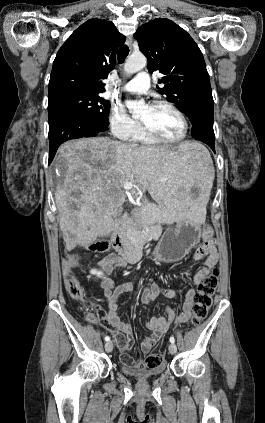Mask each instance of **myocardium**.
Instances as JSON below:
<instances>
[{
  "instance_id": "1",
  "label": "myocardium",
  "mask_w": 265,
  "mask_h": 423,
  "mask_svg": "<svg viewBox=\"0 0 265 423\" xmlns=\"http://www.w3.org/2000/svg\"><path fill=\"white\" fill-rule=\"evenodd\" d=\"M149 107L152 108V109L166 107V108L171 109L173 112H175L180 117V119L182 120L183 133L178 138L169 139V138L161 136L160 134H158L157 132L152 130L148 125H146L145 123L140 121L141 129H142V131L144 132L145 135H147L149 138H151V139H153L157 142L165 143V144L180 143L187 137L188 132H189L188 119H187L186 115L176 105H174V104H172L168 101H155V102L151 103L149 105Z\"/></svg>"
}]
</instances>
